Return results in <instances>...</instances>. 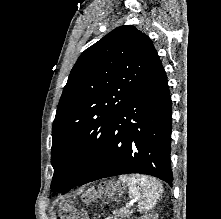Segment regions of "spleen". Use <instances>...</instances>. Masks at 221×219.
I'll use <instances>...</instances> for the list:
<instances>
[{"mask_svg": "<svg viewBox=\"0 0 221 219\" xmlns=\"http://www.w3.org/2000/svg\"><path fill=\"white\" fill-rule=\"evenodd\" d=\"M119 179L129 188V194L138 200L140 212L151 210L162 192V185L154 178L138 175H121Z\"/></svg>", "mask_w": 221, "mask_h": 219, "instance_id": "spleen-1", "label": "spleen"}]
</instances>
